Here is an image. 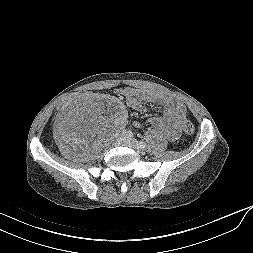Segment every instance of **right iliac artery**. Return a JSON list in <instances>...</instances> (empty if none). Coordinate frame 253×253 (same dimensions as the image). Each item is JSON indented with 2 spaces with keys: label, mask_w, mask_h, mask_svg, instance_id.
<instances>
[{
  "label": "right iliac artery",
  "mask_w": 253,
  "mask_h": 253,
  "mask_svg": "<svg viewBox=\"0 0 253 253\" xmlns=\"http://www.w3.org/2000/svg\"><path fill=\"white\" fill-rule=\"evenodd\" d=\"M125 136L131 138L133 137V133L131 131H127L125 132Z\"/></svg>",
  "instance_id": "1"
}]
</instances>
